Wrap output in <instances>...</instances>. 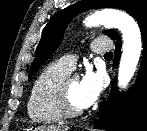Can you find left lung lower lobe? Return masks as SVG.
Here are the masks:
<instances>
[{
    "instance_id": "0a47b994",
    "label": "left lung lower lobe",
    "mask_w": 147,
    "mask_h": 131,
    "mask_svg": "<svg viewBox=\"0 0 147 131\" xmlns=\"http://www.w3.org/2000/svg\"><path fill=\"white\" fill-rule=\"evenodd\" d=\"M143 39L142 62L137 83L127 93L117 91L113 82L110 95L100 108L96 128L106 131H145L147 112V20L140 25ZM121 42L116 41L114 66L120 59Z\"/></svg>"
}]
</instances>
